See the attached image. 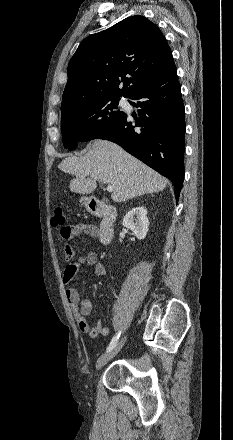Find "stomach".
I'll use <instances>...</instances> for the list:
<instances>
[{
    "label": "stomach",
    "instance_id": "stomach-1",
    "mask_svg": "<svg viewBox=\"0 0 233 440\" xmlns=\"http://www.w3.org/2000/svg\"><path fill=\"white\" fill-rule=\"evenodd\" d=\"M80 202L82 203V205H84L86 208H88V205H89V198L82 197V198L80 199Z\"/></svg>",
    "mask_w": 233,
    "mask_h": 440
}]
</instances>
